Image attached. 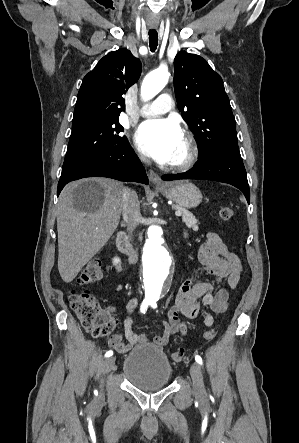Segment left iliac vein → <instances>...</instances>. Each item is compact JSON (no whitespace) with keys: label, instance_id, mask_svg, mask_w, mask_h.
I'll return each mask as SVG.
<instances>
[{"label":"left iliac vein","instance_id":"4c4485c4","mask_svg":"<svg viewBox=\"0 0 299 443\" xmlns=\"http://www.w3.org/2000/svg\"><path fill=\"white\" fill-rule=\"evenodd\" d=\"M190 375L193 382V393L199 396L205 395V388L203 383V376L200 365L193 362L190 367Z\"/></svg>","mask_w":299,"mask_h":443}]
</instances>
